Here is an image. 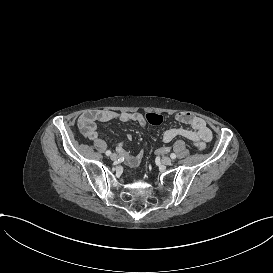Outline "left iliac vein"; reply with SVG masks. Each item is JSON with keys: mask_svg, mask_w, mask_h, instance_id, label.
Here are the masks:
<instances>
[{"mask_svg": "<svg viewBox=\"0 0 273 273\" xmlns=\"http://www.w3.org/2000/svg\"><path fill=\"white\" fill-rule=\"evenodd\" d=\"M172 163V160H171V158H169V157H164L163 159H162V164H164V165H170Z\"/></svg>", "mask_w": 273, "mask_h": 273, "instance_id": "obj_1", "label": "left iliac vein"}]
</instances>
